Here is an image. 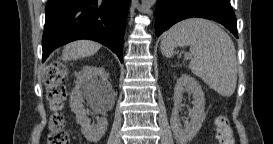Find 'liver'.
Masks as SVG:
<instances>
[{
  "mask_svg": "<svg viewBox=\"0 0 273 144\" xmlns=\"http://www.w3.org/2000/svg\"><path fill=\"white\" fill-rule=\"evenodd\" d=\"M101 48V44L91 40H78L65 46L63 60H76L94 55Z\"/></svg>",
  "mask_w": 273,
  "mask_h": 144,
  "instance_id": "liver-1",
  "label": "liver"
}]
</instances>
